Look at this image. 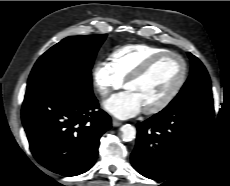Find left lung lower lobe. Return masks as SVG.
<instances>
[{
	"label": "left lung lower lobe",
	"instance_id": "1",
	"mask_svg": "<svg viewBox=\"0 0 230 186\" xmlns=\"http://www.w3.org/2000/svg\"><path fill=\"white\" fill-rule=\"evenodd\" d=\"M213 98L165 108L137 124V141L131 155L133 167L153 180H166L195 157L213 124Z\"/></svg>",
	"mask_w": 230,
	"mask_h": 186
}]
</instances>
